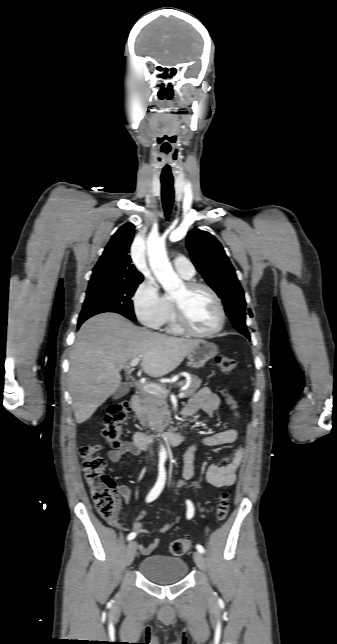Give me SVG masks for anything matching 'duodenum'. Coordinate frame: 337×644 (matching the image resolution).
Returning a JSON list of instances; mask_svg holds the SVG:
<instances>
[{"label":"duodenum","instance_id":"obj_1","mask_svg":"<svg viewBox=\"0 0 337 644\" xmlns=\"http://www.w3.org/2000/svg\"><path fill=\"white\" fill-rule=\"evenodd\" d=\"M131 405L136 414L140 411V396L134 393L131 397ZM185 439L184 432L181 428H176L158 435H146L140 432L135 433L133 441L137 448L145 450L155 444L179 445Z\"/></svg>","mask_w":337,"mask_h":644}]
</instances>
